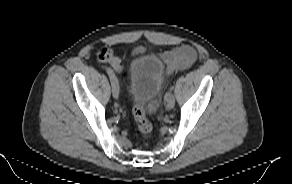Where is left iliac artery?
I'll list each match as a JSON object with an SVG mask.
<instances>
[{
    "label": "left iliac artery",
    "mask_w": 292,
    "mask_h": 184,
    "mask_svg": "<svg viewBox=\"0 0 292 184\" xmlns=\"http://www.w3.org/2000/svg\"><path fill=\"white\" fill-rule=\"evenodd\" d=\"M172 89H173V87H170V88H169V91L166 92L165 97H164L165 100H167V99L169 98L170 94H172V93H171Z\"/></svg>",
    "instance_id": "left-iliac-artery-1"
}]
</instances>
